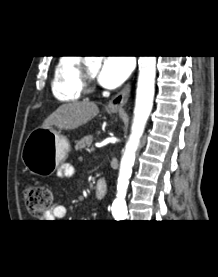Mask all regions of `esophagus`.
<instances>
[{
    "instance_id": "esophagus-1",
    "label": "esophagus",
    "mask_w": 218,
    "mask_h": 277,
    "mask_svg": "<svg viewBox=\"0 0 218 277\" xmlns=\"http://www.w3.org/2000/svg\"><path fill=\"white\" fill-rule=\"evenodd\" d=\"M131 91V85L127 84L118 94H116L109 102L108 108L112 111H118L127 103Z\"/></svg>"
}]
</instances>
